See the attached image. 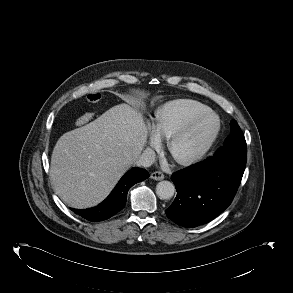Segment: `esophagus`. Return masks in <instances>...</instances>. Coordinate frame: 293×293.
Here are the masks:
<instances>
[{
	"label": "esophagus",
	"instance_id": "esophagus-1",
	"mask_svg": "<svg viewBox=\"0 0 293 293\" xmlns=\"http://www.w3.org/2000/svg\"><path fill=\"white\" fill-rule=\"evenodd\" d=\"M150 177L154 180L160 181L164 179V174L161 171H155L151 173Z\"/></svg>",
	"mask_w": 293,
	"mask_h": 293
}]
</instances>
